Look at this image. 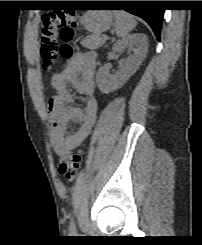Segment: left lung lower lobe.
Instances as JSON below:
<instances>
[{
    "label": "left lung lower lobe",
    "mask_w": 202,
    "mask_h": 245,
    "mask_svg": "<svg viewBox=\"0 0 202 245\" xmlns=\"http://www.w3.org/2000/svg\"><path fill=\"white\" fill-rule=\"evenodd\" d=\"M100 4V1H91ZM109 7H125V11L145 20L152 28L156 38H160L164 10L150 8L152 1H107Z\"/></svg>",
    "instance_id": "0a47b994"
}]
</instances>
